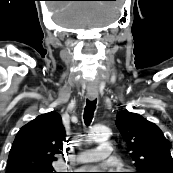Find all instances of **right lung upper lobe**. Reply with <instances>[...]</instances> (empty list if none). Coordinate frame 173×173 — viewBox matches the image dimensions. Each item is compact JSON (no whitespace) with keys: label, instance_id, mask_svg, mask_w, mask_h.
Wrapping results in <instances>:
<instances>
[{"label":"right lung upper lobe","instance_id":"1","mask_svg":"<svg viewBox=\"0 0 173 173\" xmlns=\"http://www.w3.org/2000/svg\"><path fill=\"white\" fill-rule=\"evenodd\" d=\"M65 129L55 112L42 114L17 133L7 161L6 173H32L50 169L62 150Z\"/></svg>","mask_w":173,"mask_h":173}]
</instances>
